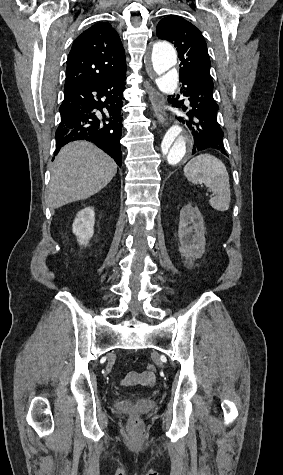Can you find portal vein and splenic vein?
Segmentation results:
<instances>
[{
	"label": "portal vein and splenic vein",
	"mask_w": 283,
	"mask_h": 475,
	"mask_svg": "<svg viewBox=\"0 0 283 475\" xmlns=\"http://www.w3.org/2000/svg\"><path fill=\"white\" fill-rule=\"evenodd\" d=\"M205 194L209 197V196H210V195H209V194H210V191H209V190H206V191H205Z\"/></svg>",
	"instance_id": "18ae733b"
}]
</instances>
